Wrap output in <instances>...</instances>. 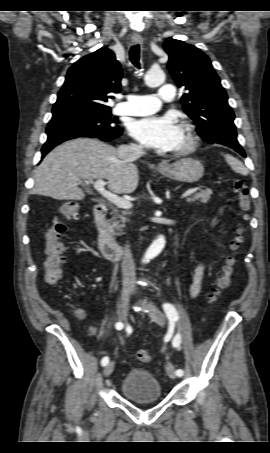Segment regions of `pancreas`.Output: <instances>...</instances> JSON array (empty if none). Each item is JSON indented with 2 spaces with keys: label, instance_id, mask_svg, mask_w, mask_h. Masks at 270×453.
Here are the masks:
<instances>
[{
  "label": "pancreas",
  "instance_id": "pancreas-1",
  "mask_svg": "<svg viewBox=\"0 0 270 453\" xmlns=\"http://www.w3.org/2000/svg\"><path fill=\"white\" fill-rule=\"evenodd\" d=\"M212 194L213 191L211 189H205L189 197L187 201L208 203ZM114 213V217L109 221V227L114 235H120L123 232V228L126 226L125 223L129 221L126 215H129L130 213L123 212L122 215H120L118 211H115Z\"/></svg>",
  "mask_w": 270,
  "mask_h": 453
}]
</instances>
